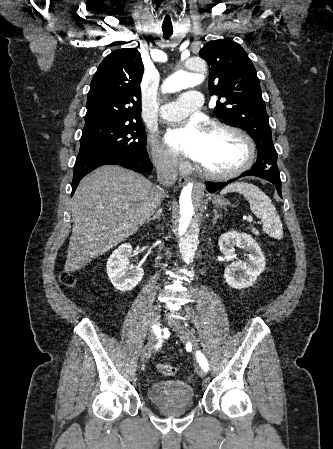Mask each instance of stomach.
<instances>
[{
	"instance_id": "1",
	"label": "stomach",
	"mask_w": 333,
	"mask_h": 449,
	"mask_svg": "<svg viewBox=\"0 0 333 449\" xmlns=\"http://www.w3.org/2000/svg\"><path fill=\"white\" fill-rule=\"evenodd\" d=\"M213 204L222 208V207L227 206L229 204V202L220 196H216L213 200Z\"/></svg>"
}]
</instances>
